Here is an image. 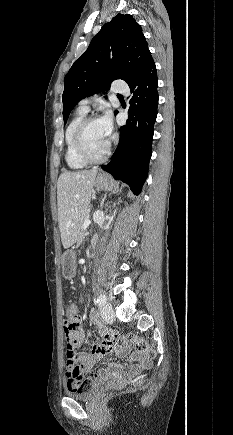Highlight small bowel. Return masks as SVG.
I'll return each instance as SVG.
<instances>
[{"instance_id":"c3829d8e","label":"small bowel","mask_w":233,"mask_h":435,"mask_svg":"<svg viewBox=\"0 0 233 435\" xmlns=\"http://www.w3.org/2000/svg\"><path fill=\"white\" fill-rule=\"evenodd\" d=\"M70 306L75 310L78 311L77 306L74 304H70ZM89 318L92 324L95 325L97 328V331L99 335L103 338L102 343L100 345H91L89 347L88 353H79L77 355V359L81 362L82 368L81 371L75 370L74 368L67 366L65 370V377L67 381V385L70 386L73 384L77 377L82 372H90L92 367L99 362L107 353H114L117 357H129L132 365L130 368L126 369V372L128 374H135L141 369L148 366V362L144 360L141 356H139L137 353L131 352L130 349L126 346L122 345H116L112 351H107L104 348V341L107 338V329L102 324L96 313L94 311H90ZM86 340V332L83 328H79L78 336H77V343L79 345L83 344ZM122 369L121 365L115 361L111 360L108 362L107 366L101 368L96 373L93 374L91 380H97L102 378L105 375H108L109 373L118 372Z\"/></svg>"}]
</instances>
